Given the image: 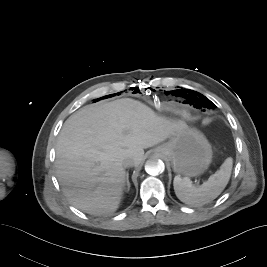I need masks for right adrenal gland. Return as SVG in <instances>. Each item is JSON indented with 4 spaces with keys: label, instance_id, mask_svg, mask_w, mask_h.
<instances>
[{
    "label": "right adrenal gland",
    "instance_id": "2a0ac1e0",
    "mask_svg": "<svg viewBox=\"0 0 267 267\" xmlns=\"http://www.w3.org/2000/svg\"><path fill=\"white\" fill-rule=\"evenodd\" d=\"M125 189L128 192L130 190V182H129V173L126 174V183H125Z\"/></svg>",
    "mask_w": 267,
    "mask_h": 267
}]
</instances>
